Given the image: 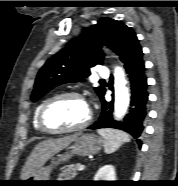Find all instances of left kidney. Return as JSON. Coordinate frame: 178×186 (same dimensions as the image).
Listing matches in <instances>:
<instances>
[{
  "mask_svg": "<svg viewBox=\"0 0 178 186\" xmlns=\"http://www.w3.org/2000/svg\"><path fill=\"white\" fill-rule=\"evenodd\" d=\"M94 181H116L115 168L112 165L101 167L95 174Z\"/></svg>",
  "mask_w": 178,
  "mask_h": 186,
  "instance_id": "1",
  "label": "left kidney"
}]
</instances>
